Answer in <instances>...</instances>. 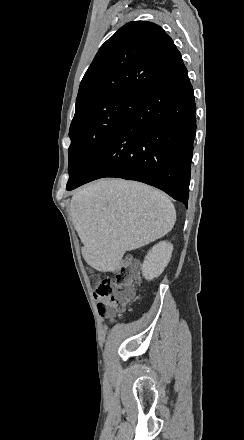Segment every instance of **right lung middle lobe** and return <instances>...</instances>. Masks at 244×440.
I'll use <instances>...</instances> for the list:
<instances>
[{
	"label": "right lung middle lobe",
	"mask_w": 244,
	"mask_h": 440,
	"mask_svg": "<svg viewBox=\"0 0 244 440\" xmlns=\"http://www.w3.org/2000/svg\"><path fill=\"white\" fill-rule=\"evenodd\" d=\"M141 97L117 95L76 106L69 136V188L97 152L135 109Z\"/></svg>",
	"instance_id": "1"
}]
</instances>
